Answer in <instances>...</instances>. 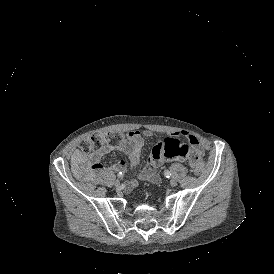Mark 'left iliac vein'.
I'll return each mask as SVG.
<instances>
[{
    "label": "left iliac vein",
    "mask_w": 274,
    "mask_h": 274,
    "mask_svg": "<svg viewBox=\"0 0 274 274\" xmlns=\"http://www.w3.org/2000/svg\"><path fill=\"white\" fill-rule=\"evenodd\" d=\"M177 179H175V178H172L171 180H170V186H172V187H175L176 185H177Z\"/></svg>",
    "instance_id": "left-iliac-vein-1"
}]
</instances>
